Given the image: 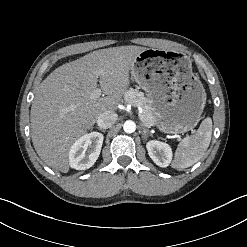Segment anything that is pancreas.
<instances>
[{"mask_svg": "<svg viewBox=\"0 0 247 247\" xmlns=\"http://www.w3.org/2000/svg\"><path fill=\"white\" fill-rule=\"evenodd\" d=\"M125 103L132 104L134 106H140L142 108V122L147 126L155 124V118L151 107L148 104V100L144 97L143 92L137 89H129L124 94Z\"/></svg>", "mask_w": 247, "mask_h": 247, "instance_id": "cf45deb5", "label": "pancreas"}]
</instances>
